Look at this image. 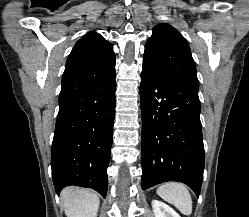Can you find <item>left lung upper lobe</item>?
Here are the masks:
<instances>
[{"label": "left lung upper lobe", "mask_w": 249, "mask_h": 217, "mask_svg": "<svg viewBox=\"0 0 249 217\" xmlns=\"http://www.w3.org/2000/svg\"><path fill=\"white\" fill-rule=\"evenodd\" d=\"M142 67L158 77L199 88L190 47L186 39L169 24L153 28L152 36L145 45Z\"/></svg>", "instance_id": "5c2ea615"}]
</instances>
